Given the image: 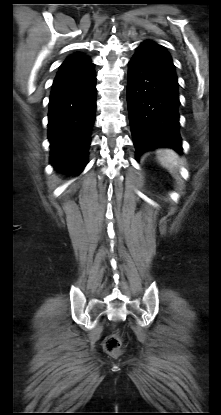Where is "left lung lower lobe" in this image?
<instances>
[{"label": "left lung lower lobe", "instance_id": "0a47b994", "mask_svg": "<svg viewBox=\"0 0 221 415\" xmlns=\"http://www.w3.org/2000/svg\"><path fill=\"white\" fill-rule=\"evenodd\" d=\"M127 103L136 158L151 149L182 152L177 77L156 63L133 56L128 63Z\"/></svg>", "mask_w": 221, "mask_h": 415}]
</instances>
